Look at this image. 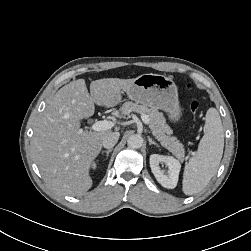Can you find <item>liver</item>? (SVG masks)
Listing matches in <instances>:
<instances>
[{
  "mask_svg": "<svg viewBox=\"0 0 251 251\" xmlns=\"http://www.w3.org/2000/svg\"><path fill=\"white\" fill-rule=\"evenodd\" d=\"M134 79L104 78L92 81L90 94L84 79L59 89L34 125L31 141L34 160L54 190L79 196L92 186L89 169L102 148L106 131H83L80 121L94 115L95 104L109 106L115 95Z\"/></svg>",
  "mask_w": 251,
  "mask_h": 251,
  "instance_id": "1",
  "label": "liver"
}]
</instances>
